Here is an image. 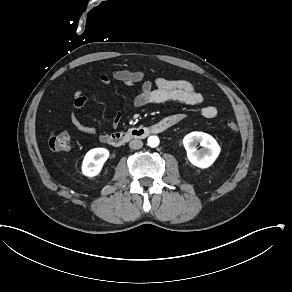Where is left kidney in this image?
I'll use <instances>...</instances> for the list:
<instances>
[{
	"mask_svg": "<svg viewBox=\"0 0 292 292\" xmlns=\"http://www.w3.org/2000/svg\"><path fill=\"white\" fill-rule=\"evenodd\" d=\"M198 144L202 147L199 150L196 148ZM183 145L189 161L199 168L211 166L220 153L217 141L204 132L195 131L187 134L183 139Z\"/></svg>",
	"mask_w": 292,
	"mask_h": 292,
	"instance_id": "1",
	"label": "left kidney"
}]
</instances>
